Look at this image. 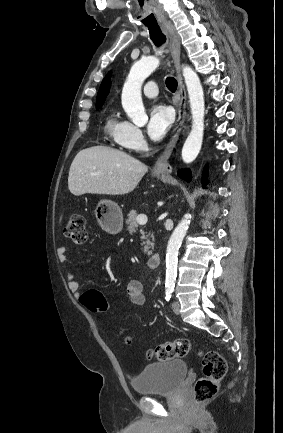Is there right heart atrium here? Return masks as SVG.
Wrapping results in <instances>:
<instances>
[{"label": "right heart atrium", "instance_id": "d8ad5b80", "mask_svg": "<svg viewBox=\"0 0 283 433\" xmlns=\"http://www.w3.org/2000/svg\"><path fill=\"white\" fill-rule=\"evenodd\" d=\"M116 141L122 147L134 146L136 152L144 150L146 146L141 130L129 122H125L124 129L116 137Z\"/></svg>", "mask_w": 283, "mask_h": 433}]
</instances>
